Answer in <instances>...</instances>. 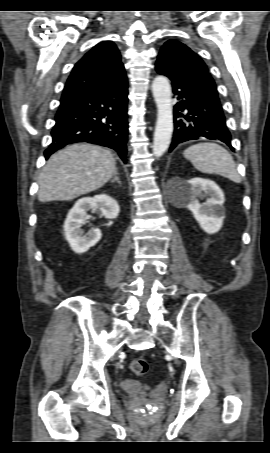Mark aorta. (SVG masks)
Masks as SVG:
<instances>
[{
  "label": "aorta",
  "instance_id": "762f6f07",
  "mask_svg": "<svg viewBox=\"0 0 270 453\" xmlns=\"http://www.w3.org/2000/svg\"><path fill=\"white\" fill-rule=\"evenodd\" d=\"M152 93L157 106L153 155L159 158L168 149L173 132L172 92L169 80L162 75L155 77L152 82Z\"/></svg>",
  "mask_w": 270,
  "mask_h": 453
}]
</instances>
